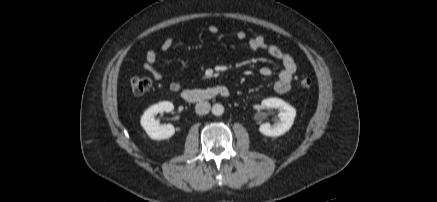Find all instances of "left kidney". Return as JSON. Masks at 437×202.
Masks as SVG:
<instances>
[{
    "label": "left kidney",
    "mask_w": 437,
    "mask_h": 202,
    "mask_svg": "<svg viewBox=\"0 0 437 202\" xmlns=\"http://www.w3.org/2000/svg\"><path fill=\"white\" fill-rule=\"evenodd\" d=\"M264 109H276L279 111L278 117L280 119L274 125L264 123L260 125L259 131L265 136L277 137L287 132L293 125L296 110L290 104L279 98H267L261 102Z\"/></svg>",
    "instance_id": "5707ae66"
}]
</instances>
